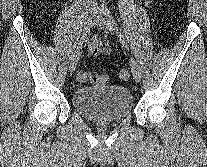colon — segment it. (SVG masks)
I'll return each mask as SVG.
<instances>
[{"label": "colon", "instance_id": "5ec220e1", "mask_svg": "<svg viewBox=\"0 0 207 167\" xmlns=\"http://www.w3.org/2000/svg\"><path fill=\"white\" fill-rule=\"evenodd\" d=\"M119 77L121 80H128L130 78V72L127 69H122L119 72ZM77 79L81 83L92 82L99 85H105L108 83L109 78L104 74H99L95 72L80 71L77 74Z\"/></svg>", "mask_w": 207, "mask_h": 167}]
</instances>
